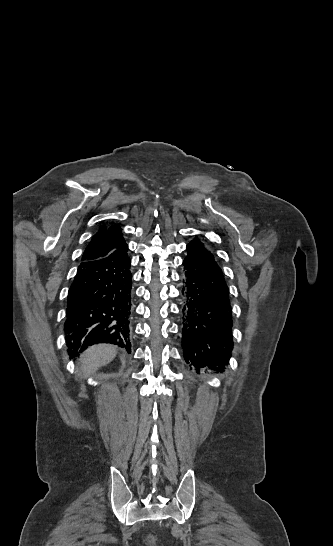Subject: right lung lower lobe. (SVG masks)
<instances>
[{
  "mask_svg": "<svg viewBox=\"0 0 333 546\" xmlns=\"http://www.w3.org/2000/svg\"><path fill=\"white\" fill-rule=\"evenodd\" d=\"M127 250L125 244L79 265L68 292L64 327L71 358L97 343L130 351L132 274Z\"/></svg>",
  "mask_w": 333,
  "mask_h": 546,
  "instance_id": "right-lung-lower-lobe-1",
  "label": "right lung lower lobe"
}]
</instances>
